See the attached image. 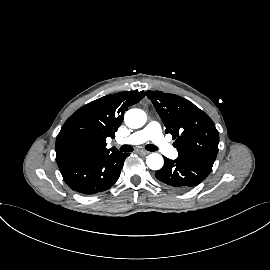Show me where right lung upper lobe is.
<instances>
[{
	"label": "right lung upper lobe",
	"instance_id": "right-lung-upper-lobe-1",
	"mask_svg": "<svg viewBox=\"0 0 270 270\" xmlns=\"http://www.w3.org/2000/svg\"><path fill=\"white\" fill-rule=\"evenodd\" d=\"M144 96L143 91L119 92L78 109L66 120L57 136V164L117 150L106 148V138H114L125 111Z\"/></svg>",
	"mask_w": 270,
	"mask_h": 270
}]
</instances>
